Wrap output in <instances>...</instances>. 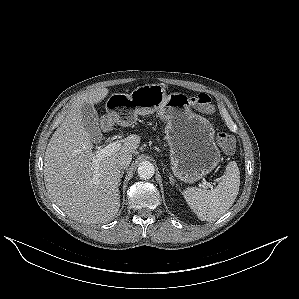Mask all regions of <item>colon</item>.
Here are the masks:
<instances>
[{"mask_svg": "<svg viewBox=\"0 0 299 299\" xmlns=\"http://www.w3.org/2000/svg\"><path fill=\"white\" fill-rule=\"evenodd\" d=\"M192 103L198 107L201 111L211 113L213 111V105L211 98L204 93H200L192 98ZM219 145L228 153H231L235 149V140L232 136L225 132L218 133Z\"/></svg>", "mask_w": 299, "mask_h": 299, "instance_id": "1", "label": "colon"}]
</instances>
